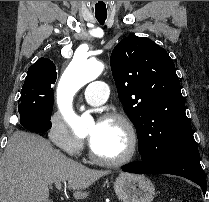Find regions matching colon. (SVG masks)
Listing matches in <instances>:
<instances>
[{"instance_id": "1", "label": "colon", "mask_w": 209, "mask_h": 202, "mask_svg": "<svg viewBox=\"0 0 209 202\" xmlns=\"http://www.w3.org/2000/svg\"><path fill=\"white\" fill-rule=\"evenodd\" d=\"M172 202H191V201L188 200V199H177V200H174Z\"/></svg>"}]
</instances>
